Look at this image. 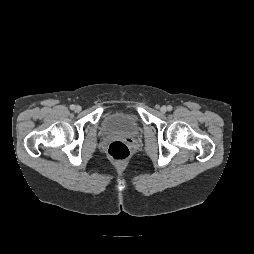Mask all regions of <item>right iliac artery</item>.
I'll use <instances>...</instances> for the list:
<instances>
[{"label": "right iliac artery", "instance_id": "82829eb1", "mask_svg": "<svg viewBox=\"0 0 254 254\" xmlns=\"http://www.w3.org/2000/svg\"><path fill=\"white\" fill-rule=\"evenodd\" d=\"M75 107H76L75 105H71V106H70V109H71V110H74Z\"/></svg>", "mask_w": 254, "mask_h": 254}]
</instances>
